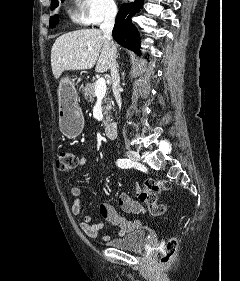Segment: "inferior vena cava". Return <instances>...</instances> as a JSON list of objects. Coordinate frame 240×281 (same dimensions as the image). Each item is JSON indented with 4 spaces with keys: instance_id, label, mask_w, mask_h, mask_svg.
I'll list each match as a JSON object with an SVG mask.
<instances>
[{
    "instance_id": "inferior-vena-cava-1",
    "label": "inferior vena cava",
    "mask_w": 240,
    "mask_h": 281,
    "mask_svg": "<svg viewBox=\"0 0 240 281\" xmlns=\"http://www.w3.org/2000/svg\"><path fill=\"white\" fill-rule=\"evenodd\" d=\"M116 14H117V7L115 5L110 6L107 9V12L105 14V19L100 26V29L103 32L104 37L112 46L114 44V42L112 40V30L114 27ZM115 56H116V49L113 47L111 49L110 73H111V79H112L113 95L115 97L116 102L118 104H120L121 103V97H120V92H119L120 78H119V74H118Z\"/></svg>"
}]
</instances>
